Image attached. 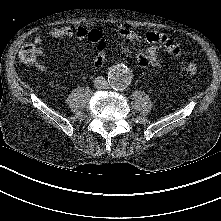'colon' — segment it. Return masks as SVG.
Returning <instances> with one entry per match:
<instances>
[{"label":"colon","mask_w":221,"mask_h":221,"mask_svg":"<svg viewBox=\"0 0 221 221\" xmlns=\"http://www.w3.org/2000/svg\"><path fill=\"white\" fill-rule=\"evenodd\" d=\"M106 46V42H101L98 45V49L104 50ZM38 54V48L36 47V45L32 43H27L24 46H22L19 52V59L25 64H34L37 61ZM182 72L186 76L193 77L198 72V66L194 62H188L183 67Z\"/></svg>","instance_id":"1"}]
</instances>
